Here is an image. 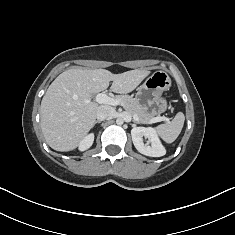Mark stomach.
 I'll use <instances>...</instances> for the list:
<instances>
[{"mask_svg": "<svg viewBox=\"0 0 235 235\" xmlns=\"http://www.w3.org/2000/svg\"><path fill=\"white\" fill-rule=\"evenodd\" d=\"M170 86L168 74L162 70L156 71L137 88L135 99L153 116L159 115L167 109V101L162 95Z\"/></svg>", "mask_w": 235, "mask_h": 235, "instance_id": "obj_1", "label": "stomach"}]
</instances>
